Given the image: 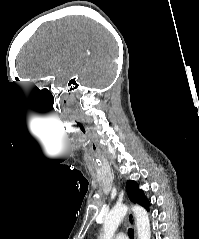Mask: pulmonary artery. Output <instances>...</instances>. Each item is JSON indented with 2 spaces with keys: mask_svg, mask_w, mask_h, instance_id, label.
I'll use <instances>...</instances> for the list:
<instances>
[{
  "mask_svg": "<svg viewBox=\"0 0 199 239\" xmlns=\"http://www.w3.org/2000/svg\"><path fill=\"white\" fill-rule=\"evenodd\" d=\"M115 239H128L124 233H119L115 236Z\"/></svg>",
  "mask_w": 199,
  "mask_h": 239,
  "instance_id": "obj_1",
  "label": "pulmonary artery"
}]
</instances>
